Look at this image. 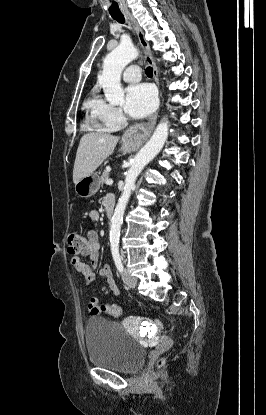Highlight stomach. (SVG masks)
<instances>
[{"instance_id": "obj_1", "label": "stomach", "mask_w": 266, "mask_h": 415, "mask_svg": "<svg viewBox=\"0 0 266 415\" xmlns=\"http://www.w3.org/2000/svg\"><path fill=\"white\" fill-rule=\"evenodd\" d=\"M134 145L130 141H124L121 151L129 152L134 149ZM100 178L97 173H92L82 178L75 184V192L81 198H89L93 196L100 188Z\"/></svg>"}]
</instances>
